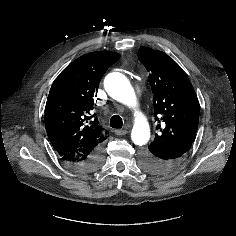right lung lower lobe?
Returning a JSON list of instances; mask_svg holds the SVG:
<instances>
[{"mask_svg": "<svg viewBox=\"0 0 236 236\" xmlns=\"http://www.w3.org/2000/svg\"><path fill=\"white\" fill-rule=\"evenodd\" d=\"M61 160L72 170L82 173H89L97 170L103 163L104 151L102 146L96 148L92 154L84 160H65L60 157Z\"/></svg>", "mask_w": 236, "mask_h": 236, "instance_id": "1", "label": "right lung lower lobe"}]
</instances>
